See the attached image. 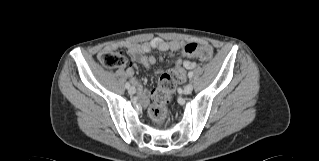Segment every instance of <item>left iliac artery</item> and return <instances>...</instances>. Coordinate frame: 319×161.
I'll return each instance as SVG.
<instances>
[{
  "mask_svg": "<svg viewBox=\"0 0 319 161\" xmlns=\"http://www.w3.org/2000/svg\"><path fill=\"white\" fill-rule=\"evenodd\" d=\"M193 74H194L193 71H189V72H188V77H189V78H192V77H193Z\"/></svg>",
  "mask_w": 319,
  "mask_h": 161,
  "instance_id": "obj_1",
  "label": "left iliac artery"
}]
</instances>
